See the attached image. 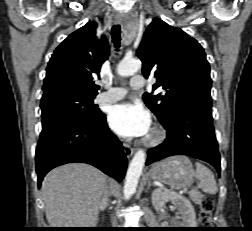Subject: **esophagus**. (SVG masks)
I'll use <instances>...</instances> for the list:
<instances>
[{"instance_id": "1", "label": "esophagus", "mask_w": 252, "mask_h": 231, "mask_svg": "<svg viewBox=\"0 0 252 231\" xmlns=\"http://www.w3.org/2000/svg\"><path fill=\"white\" fill-rule=\"evenodd\" d=\"M123 21V15L121 14H117L114 18V22L116 24H120L121 22ZM123 149H124V152H125V155L127 156V158H130L133 153H134V148H132L129 144L127 143H123Z\"/></svg>"}]
</instances>
